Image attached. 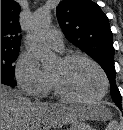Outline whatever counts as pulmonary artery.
Returning a JSON list of instances; mask_svg holds the SVG:
<instances>
[{
  "mask_svg": "<svg viewBox=\"0 0 123 130\" xmlns=\"http://www.w3.org/2000/svg\"><path fill=\"white\" fill-rule=\"evenodd\" d=\"M48 44L55 50H63V37L59 30L51 29L47 34Z\"/></svg>",
  "mask_w": 123,
  "mask_h": 130,
  "instance_id": "obj_1",
  "label": "pulmonary artery"
}]
</instances>
